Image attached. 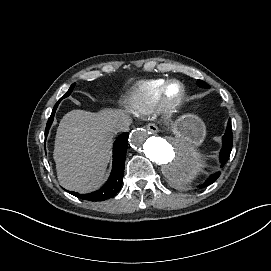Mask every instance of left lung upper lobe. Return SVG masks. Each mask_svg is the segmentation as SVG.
<instances>
[{"label":"left lung upper lobe","instance_id":"obj_1","mask_svg":"<svg viewBox=\"0 0 271 271\" xmlns=\"http://www.w3.org/2000/svg\"><path fill=\"white\" fill-rule=\"evenodd\" d=\"M197 85L202 88H209V85L202 80H197Z\"/></svg>","mask_w":271,"mask_h":271}]
</instances>
